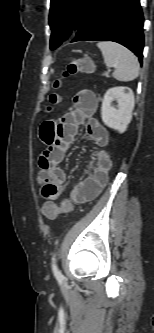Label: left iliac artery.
I'll use <instances>...</instances> for the list:
<instances>
[{"label": "left iliac artery", "mask_w": 154, "mask_h": 333, "mask_svg": "<svg viewBox=\"0 0 154 333\" xmlns=\"http://www.w3.org/2000/svg\"><path fill=\"white\" fill-rule=\"evenodd\" d=\"M52 270L57 280H63L64 276L57 267L55 256L52 258Z\"/></svg>", "instance_id": "obj_1"}]
</instances>
